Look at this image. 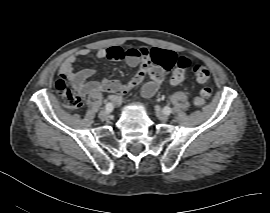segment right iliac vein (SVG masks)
<instances>
[{
  "label": "right iliac vein",
  "instance_id": "right-iliac-vein-1",
  "mask_svg": "<svg viewBox=\"0 0 270 213\" xmlns=\"http://www.w3.org/2000/svg\"><path fill=\"white\" fill-rule=\"evenodd\" d=\"M110 112L108 110H102L100 111L99 113V118L102 120V121H105V120H108L110 118Z\"/></svg>",
  "mask_w": 270,
  "mask_h": 213
}]
</instances>
